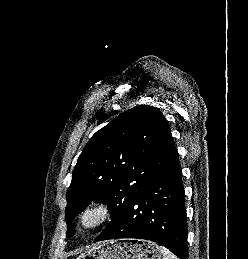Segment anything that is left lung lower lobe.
<instances>
[{"instance_id": "obj_1", "label": "left lung lower lobe", "mask_w": 248, "mask_h": 259, "mask_svg": "<svg viewBox=\"0 0 248 259\" xmlns=\"http://www.w3.org/2000/svg\"><path fill=\"white\" fill-rule=\"evenodd\" d=\"M185 193L176 157L138 195L124 214L100 233L94 242L138 238L156 242L180 259H188Z\"/></svg>"}]
</instances>
